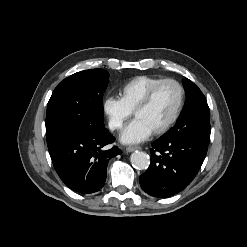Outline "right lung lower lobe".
Instances as JSON below:
<instances>
[{
  "label": "right lung lower lobe",
  "instance_id": "1",
  "mask_svg": "<svg viewBox=\"0 0 247 247\" xmlns=\"http://www.w3.org/2000/svg\"><path fill=\"white\" fill-rule=\"evenodd\" d=\"M114 141L115 137L103 126L58 136L47 145L62 181L81 194H90L103 187L109 159L121 153L116 146L102 150Z\"/></svg>",
  "mask_w": 247,
  "mask_h": 247
}]
</instances>
